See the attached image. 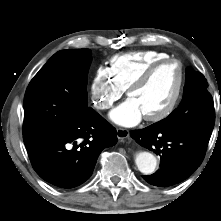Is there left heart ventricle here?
<instances>
[{
	"label": "left heart ventricle",
	"instance_id": "left-heart-ventricle-1",
	"mask_svg": "<svg viewBox=\"0 0 221 221\" xmlns=\"http://www.w3.org/2000/svg\"><path fill=\"white\" fill-rule=\"evenodd\" d=\"M178 81V67L173 63L167 64L157 70L146 85L134 91L130 98L136 100L144 116L156 114L169 104Z\"/></svg>",
	"mask_w": 221,
	"mask_h": 221
}]
</instances>
